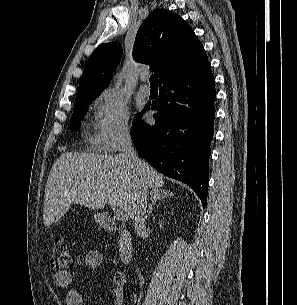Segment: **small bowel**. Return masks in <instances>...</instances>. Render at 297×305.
I'll return each instance as SVG.
<instances>
[{"label": "small bowel", "mask_w": 297, "mask_h": 305, "mask_svg": "<svg viewBox=\"0 0 297 305\" xmlns=\"http://www.w3.org/2000/svg\"><path fill=\"white\" fill-rule=\"evenodd\" d=\"M103 263V256L98 251H89L84 256V265L89 269H97ZM54 283L58 288H68L66 294L67 305H83V297L78 290L72 289V276L68 271H56L54 273ZM113 282L115 284L112 290L113 305H124V289L125 275L121 271H116L113 274Z\"/></svg>", "instance_id": "c3829d8e"}]
</instances>
